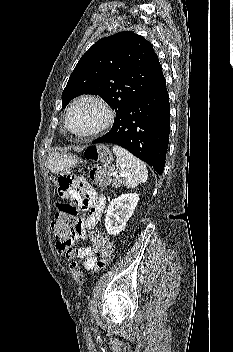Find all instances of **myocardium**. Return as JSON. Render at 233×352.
Returning a JSON list of instances; mask_svg holds the SVG:
<instances>
[{"label": "myocardium", "instance_id": "myocardium-1", "mask_svg": "<svg viewBox=\"0 0 233 352\" xmlns=\"http://www.w3.org/2000/svg\"><path fill=\"white\" fill-rule=\"evenodd\" d=\"M83 102H93L95 104H97L98 106H100L104 112V118L101 121V123L99 125H97L95 128L87 131V132H78L76 130L73 129V127L71 126L70 123V117H71V113L73 111V109L83 103ZM114 121V112L113 109L111 108V106L101 97L96 96V95H84L81 96L79 98H77L68 108L66 116H65V126L67 128V130L73 134L76 137L79 138H90L93 136H96L102 132H104L105 130H107L113 123Z\"/></svg>", "mask_w": 233, "mask_h": 352}]
</instances>
